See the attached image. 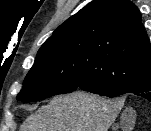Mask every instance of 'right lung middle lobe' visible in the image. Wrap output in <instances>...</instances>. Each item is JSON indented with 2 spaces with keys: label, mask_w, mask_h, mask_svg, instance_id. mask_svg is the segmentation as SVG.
Instances as JSON below:
<instances>
[{
  "label": "right lung middle lobe",
  "mask_w": 151,
  "mask_h": 131,
  "mask_svg": "<svg viewBox=\"0 0 151 131\" xmlns=\"http://www.w3.org/2000/svg\"><path fill=\"white\" fill-rule=\"evenodd\" d=\"M106 85L94 58L74 43L40 49L16 99L34 102L78 89L81 82Z\"/></svg>",
  "instance_id": "1"
}]
</instances>
